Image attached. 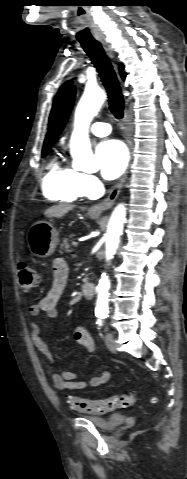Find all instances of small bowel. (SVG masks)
<instances>
[{
    "label": "small bowel",
    "instance_id": "1",
    "mask_svg": "<svg viewBox=\"0 0 187 479\" xmlns=\"http://www.w3.org/2000/svg\"><path fill=\"white\" fill-rule=\"evenodd\" d=\"M68 277V264L62 258L56 259L53 263V281L51 288L38 303L30 307L31 319L29 322L31 339L37 349L46 358L51 372L53 385L61 392L66 390H84L89 386L98 387L109 381L111 378L110 372L102 371L98 376L92 377L88 381H77L76 379L80 374V370L60 372L54 370L51 353L40 336L41 328L38 316L41 313H45L46 316L51 319L59 316V301L67 286ZM74 339L85 348L88 354H93L95 352V342L84 326L79 325L74 329Z\"/></svg>",
    "mask_w": 187,
    "mask_h": 479
}]
</instances>
